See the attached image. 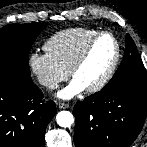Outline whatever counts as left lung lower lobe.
<instances>
[{
    "label": "left lung lower lobe",
    "instance_id": "1",
    "mask_svg": "<svg viewBox=\"0 0 147 147\" xmlns=\"http://www.w3.org/2000/svg\"><path fill=\"white\" fill-rule=\"evenodd\" d=\"M147 113V86L122 85L79 101L74 110L76 147H130Z\"/></svg>",
    "mask_w": 147,
    "mask_h": 147
}]
</instances>
